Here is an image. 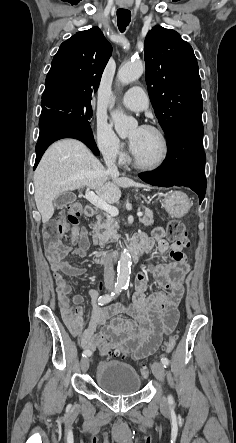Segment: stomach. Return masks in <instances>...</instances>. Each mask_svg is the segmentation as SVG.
Listing matches in <instances>:
<instances>
[{
	"instance_id": "1",
	"label": "stomach",
	"mask_w": 236,
	"mask_h": 443,
	"mask_svg": "<svg viewBox=\"0 0 236 443\" xmlns=\"http://www.w3.org/2000/svg\"><path fill=\"white\" fill-rule=\"evenodd\" d=\"M164 208L172 217H182L188 212L190 201L185 193L171 191L164 199Z\"/></svg>"
}]
</instances>
